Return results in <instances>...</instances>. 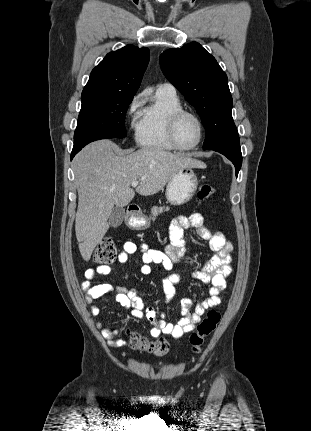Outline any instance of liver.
Segmentation results:
<instances>
[{"label":"liver","mask_w":311,"mask_h":431,"mask_svg":"<svg viewBox=\"0 0 311 431\" xmlns=\"http://www.w3.org/2000/svg\"><path fill=\"white\" fill-rule=\"evenodd\" d=\"M182 168H206L189 154H171L158 148L121 150L110 140L92 142L73 160L78 192L75 233L79 251L89 261L93 249L109 229V216L129 206L135 192L152 196L163 190ZM140 180L133 190L132 182Z\"/></svg>","instance_id":"6515ba94"}]
</instances>
